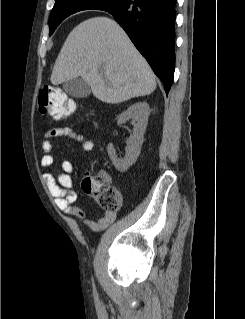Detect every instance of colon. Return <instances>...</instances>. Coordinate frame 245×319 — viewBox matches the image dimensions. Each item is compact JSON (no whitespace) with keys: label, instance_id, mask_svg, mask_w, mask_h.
<instances>
[{"label":"colon","instance_id":"5ec220e1","mask_svg":"<svg viewBox=\"0 0 245 319\" xmlns=\"http://www.w3.org/2000/svg\"><path fill=\"white\" fill-rule=\"evenodd\" d=\"M76 109V104L68 99L57 87L43 86L39 92L38 110L43 115L66 117ZM83 191L92 196L98 205L108 211H117L121 206V195L112 187L105 172L98 176H86L82 179Z\"/></svg>","mask_w":245,"mask_h":319}]
</instances>
